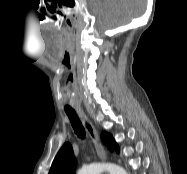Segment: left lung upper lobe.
<instances>
[{"mask_svg": "<svg viewBox=\"0 0 187 174\" xmlns=\"http://www.w3.org/2000/svg\"><path fill=\"white\" fill-rule=\"evenodd\" d=\"M103 142L109 147L114 148L119 153L118 145L113 137L105 132L102 133ZM76 159L73 154L72 147L69 143H65L56 155L49 174H75Z\"/></svg>", "mask_w": 187, "mask_h": 174, "instance_id": "left-lung-upper-lobe-1", "label": "left lung upper lobe"}]
</instances>
